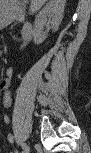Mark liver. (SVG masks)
Segmentation results:
<instances>
[{"mask_svg":"<svg viewBox=\"0 0 91 153\" xmlns=\"http://www.w3.org/2000/svg\"><path fill=\"white\" fill-rule=\"evenodd\" d=\"M46 2V0H31V7L30 10L31 12H37L43 4Z\"/></svg>","mask_w":91,"mask_h":153,"instance_id":"1","label":"liver"}]
</instances>
